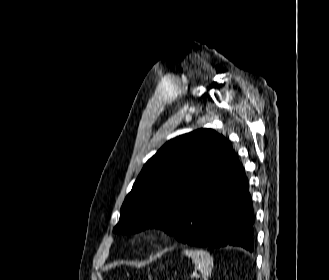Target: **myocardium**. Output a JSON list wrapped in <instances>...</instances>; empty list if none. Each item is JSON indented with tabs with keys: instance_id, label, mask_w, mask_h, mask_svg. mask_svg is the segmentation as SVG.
Segmentation results:
<instances>
[{
	"instance_id": "obj_1",
	"label": "myocardium",
	"mask_w": 329,
	"mask_h": 280,
	"mask_svg": "<svg viewBox=\"0 0 329 280\" xmlns=\"http://www.w3.org/2000/svg\"><path fill=\"white\" fill-rule=\"evenodd\" d=\"M139 242L144 246L158 243L162 239V233L158 229H145L138 234Z\"/></svg>"
}]
</instances>
